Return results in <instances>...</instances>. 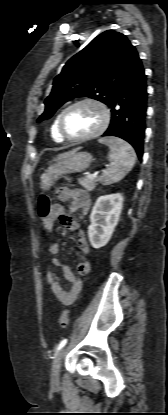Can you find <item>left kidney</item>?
Listing matches in <instances>:
<instances>
[{"mask_svg":"<svg viewBox=\"0 0 168 415\" xmlns=\"http://www.w3.org/2000/svg\"><path fill=\"white\" fill-rule=\"evenodd\" d=\"M123 207L122 194L100 196L90 214L88 237L93 248L105 246L116 227Z\"/></svg>","mask_w":168,"mask_h":415,"instance_id":"left-kidney-1","label":"left kidney"}]
</instances>
